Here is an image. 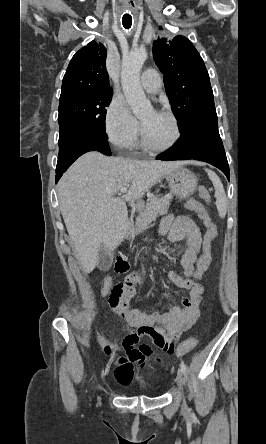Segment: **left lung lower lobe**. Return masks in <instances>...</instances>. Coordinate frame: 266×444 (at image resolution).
<instances>
[{
	"label": "left lung lower lobe",
	"mask_w": 266,
	"mask_h": 444,
	"mask_svg": "<svg viewBox=\"0 0 266 444\" xmlns=\"http://www.w3.org/2000/svg\"><path fill=\"white\" fill-rule=\"evenodd\" d=\"M174 147L160 154L159 160H200L219 168L229 180V166L218 131L216 110L190 120Z\"/></svg>",
	"instance_id": "0a47b994"
}]
</instances>
